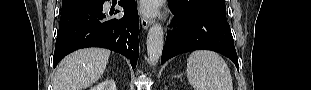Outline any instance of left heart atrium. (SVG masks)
I'll return each mask as SVG.
<instances>
[{"label":"left heart atrium","instance_id":"left-heart-atrium-1","mask_svg":"<svg viewBox=\"0 0 311 90\" xmlns=\"http://www.w3.org/2000/svg\"><path fill=\"white\" fill-rule=\"evenodd\" d=\"M141 12L148 16H154L157 11V1L154 0H144L141 4Z\"/></svg>","mask_w":311,"mask_h":90}]
</instances>
